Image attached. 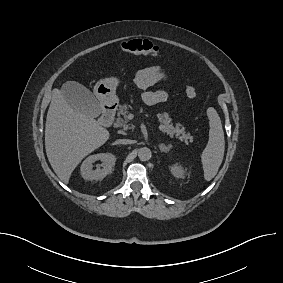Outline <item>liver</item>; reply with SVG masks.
Returning a JSON list of instances; mask_svg holds the SVG:
<instances>
[{"label":"liver","mask_w":283,"mask_h":283,"mask_svg":"<svg viewBox=\"0 0 283 283\" xmlns=\"http://www.w3.org/2000/svg\"><path fill=\"white\" fill-rule=\"evenodd\" d=\"M110 137L92 116L75 111L59 89L53 90L45 126L48 160L59 179L68 183L84 157Z\"/></svg>","instance_id":"1"}]
</instances>
